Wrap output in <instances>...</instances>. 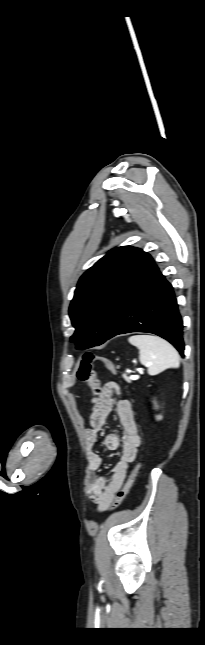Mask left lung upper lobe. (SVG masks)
Wrapping results in <instances>:
<instances>
[{"label":"left lung upper lobe","instance_id":"1","mask_svg":"<svg viewBox=\"0 0 205 645\" xmlns=\"http://www.w3.org/2000/svg\"><path fill=\"white\" fill-rule=\"evenodd\" d=\"M141 249L130 246L110 250L80 278L69 315L77 349L104 342L114 320V308Z\"/></svg>","mask_w":205,"mask_h":645}]
</instances>
